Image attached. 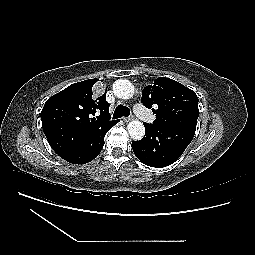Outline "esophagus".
<instances>
[{
  "mask_svg": "<svg viewBox=\"0 0 255 255\" xmlns=\"http://www.w3.org/2000/svg\"><path fill=\"white\" fill-rule=\"evenodd\" d=\"M133 119V117H124L123 118V121L124 122H129V121H131Z\"/></svg>",
  "mask_w": 255,
  "mask_h": 255,
  "instance_id": "34e87169",
  "label": "esophagus"
}]
</instances>
